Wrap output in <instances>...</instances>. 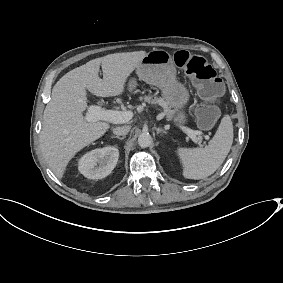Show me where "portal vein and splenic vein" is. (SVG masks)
<instances>
[{
  "label": "portal vein and splenic vein",
  "instance_id": "portal-vein-and-splenic-vein-1",
  "mask_svg": "<svg viewBox=\"0 0 283 283\" xmlns=\"http://www.w3.org/2000/svg\"><path fill=\"white\" fill-rule=\"evenodd\" d=\"M132 117L131 112H119L115 110H106L102 105H89L85 119L87 122L93 123L97 121H107L111 123H124L128 122ZM187 135L191 140L199 145L202 137L209 139V136L204 134L201 130L186 129ZM198 135V137H196Z\"/></svg>",
  "mask_w": 283,
  "mask_h": 283
}]
</instances>
